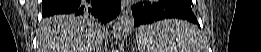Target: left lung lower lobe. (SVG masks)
<instances>
[{
    "mask_svg": "<svg viewBox=\"0 0 261 52\" xmlns=\"http://www.w3.org/2000/svg\"><path fill=\"white\" fill-rule=\"evenodd\" d=\"M134 26L165 18H179L197 24L191 0H147L132 7Z\"/></svg>",
    "mask_w": 261,
    "mask_h": 52,
    "instance_id": "1",
    "label": "left lung lower lobe"
}]
</instances>
